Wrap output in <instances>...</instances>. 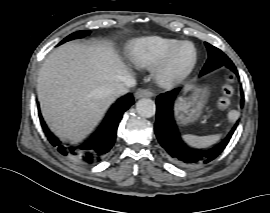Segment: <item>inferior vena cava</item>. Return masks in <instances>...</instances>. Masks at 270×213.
<instances>
[{
    "instance_id": "1",
    "label": "inferior vena cava",
    "mask_w": 270,
    "mask_h": 213,
    "mask_svg": "<svg viewBox=\"0 0 270 213\" xmlns=\"http://www.w3.org/2000/svg\"><path fill=\"white\" fill-rule=\"evenodd\" d=\"M136 84V81L131 76H125L123 79L116 83L113 88L111 89V94L114 97H118L121 95H124L129 92L131 87H134Z\"/></svg>"
}]
</instances>
